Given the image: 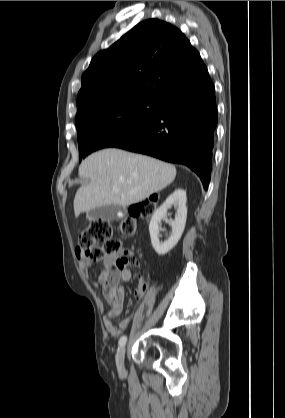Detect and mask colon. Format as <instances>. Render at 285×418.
I'll use <instances>...</instances> for the list:
<instances>
[{"label":"colon","mask_w":285,"mask_h":418,"mask_svg":"<svg viewBox=\"0 0 285 418\" xmlns=\"http://www.w3.org/2000/svg\"><path fill=\"white\" fill-rule=\"evenodd\" d=\"M154 204L150 201H140L130 208V216L126 217L121 224L122 233L132 236L137 231V219L147 218L152 215ZM76 249L78 259L97 263L101 257L117 254L121 249L120 242L113 238V229L107 222H94L82 229L78 236ZM116 265L120 268L129 266L139 267V258L128 255L118 258Z\"/></svg>","instance_id":"5ec220e1"}]
</instances>
